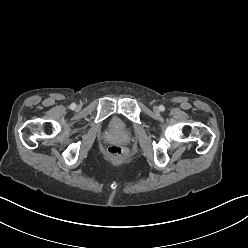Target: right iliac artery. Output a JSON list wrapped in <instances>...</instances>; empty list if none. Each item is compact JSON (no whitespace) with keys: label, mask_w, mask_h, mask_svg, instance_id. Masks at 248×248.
Listing matches in <instances>:
<instances>
[{"label":"right iliac artery","mask_w":248,"mask_h":248,"mask_svg":"<svg viewBox=\"0 0 248 248\" xmlns=\"http://www.w3.org/2000/svg\"><path fill=\"white\" fill-rule=\"evenodd\" d=\"M75 107H76V104L75 103H72L71 105H70V108L73 110V109H75Z\"/></svg>","instance_id":"obj_1"}]
</instances>
